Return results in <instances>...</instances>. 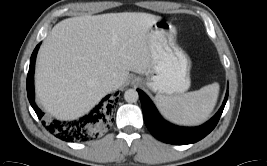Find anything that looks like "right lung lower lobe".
<instances>
[{
    "instance_id": "obj_1",
    "label": "right lung lower lobe",
    "mask_w": 267,
    "mask_h": 166,
    "mask_svg": "<svg viewBox=\"0 0 267 166\" xmlns=\"http://www.w3.org/2000/svg\"><path fill=\"white\" fill-rule=\"evenodd\" d=\"M39 45L34 49L31 59L29 72L27 76V95L31 106L36 112L39 119L44 113L37 107L34 101V67L36 54ZM118 99H114L111 95H107L101 102L87 115L78 120L71 122H61L58 120H46L43 124L47 130L57 138L66 142H84L97 137L98 133L109 125L113 119L112 115Z\"/></svg>"
}]
</instances>
